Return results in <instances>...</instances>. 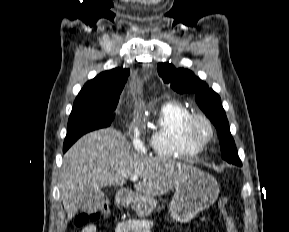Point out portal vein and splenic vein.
<instances>
[{
    "label": "portal vein and splenic vein",
    "instance_id": "1",
    "mask_svg": "<svg viewBox=\"0 0 289 232\" xmlns=\"http://www.w3.org/2000/svg\"><path fill=\"white\" fill-rule=\"evenodd\" d=\"M138 176H132V177H130V180L131 181H133V182H136V181H138Z\"/></svg>",
    "mask_w": 289,
    "mask_h": 232
}]
</instances>
